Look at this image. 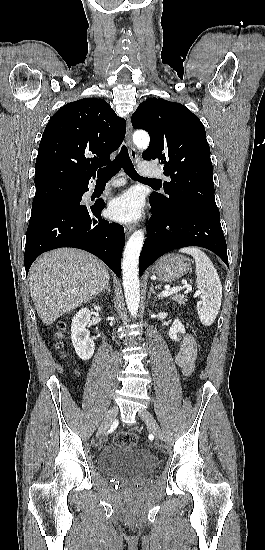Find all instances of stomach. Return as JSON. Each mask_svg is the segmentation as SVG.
I'll use <instances>...</instances> for the list:
<instances>
[{"label": "stomach", "mask_w": 265, "mask_h": 550, "mask_svg": "<svg viewBox=\"0 0 265 550\" xmlns=\"http://www.w3.org/2000/svg\"><path fill=\"white\" fill-rule=\"evenodd\" d=\"M190 269V260L181 255H166L158 260L153 267V274L163 282H172Z\"/></svg>", "instance_id": "stomach-1"}]
</instances>
